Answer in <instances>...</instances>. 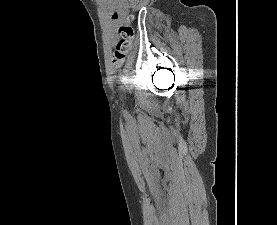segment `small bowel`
<instances>
[{
  "label": "small bowel",
  "instance_id": "c3829d8e",
  "mask_svg": "<svg viewBox=\"0 0 277 225\" xmlns=\"http://www.w3.org/2000/svg\"><path fill=\"white\" fill-rule=\"evenodd\" d=\"M111 17H112V19H114V20L120 19V17H121V7H120L118 10L113 11V12L111 13Z\"/></svg>",
  "mask_w": 277,
  "mask_h": 225
}]
</instances>
